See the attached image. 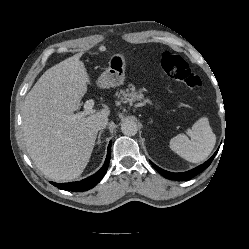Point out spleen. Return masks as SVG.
Here are the masks:
<instances>
[{"label": "spleen", "instance_id": "obj_1", "mask_svg": "<svg viewBox=\"0 0 249 249\" xmlns=\"http://www.w3.org/2000/svg\"><path fill=\"white\" fill-rule=\"evenodd\" d=\"M190 138L178 134L170 140V148L185 160L198 163L205 160L212 152L216 136L213 133L207 117L196 121L190 131Z\"/></svg>", "mask_w": 249, "mask_h": 249}]
</instances>
